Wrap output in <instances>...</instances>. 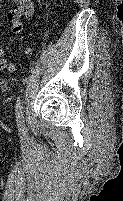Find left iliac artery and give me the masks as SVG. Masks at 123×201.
Returning <instances> with one entry per match:
<instances>
[{
  "mask_svg": "<svg viewBox=\"0 0 123 201\" xmlns=\"http://www.w3.org/2000/svg\"><path fill=\"white\" fill-rule=\"evenodd\" d=\"M15 115L20 130L24 131L23 102L20 98L17 99L15 104Z\"/></svg>",
  "mask_w": 123,
  "mask_h": 201,
  "instance_id": "left-iliac-artery-1",
  "label": "left iliac artery"
}]
</instances>
